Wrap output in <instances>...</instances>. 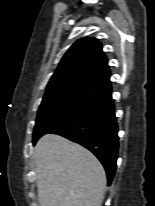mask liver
I'll list each match as a JSON object with an SVG mask.
<instances>
[{
    "instance_id": "6515ba94",
    "label": "liver",
    "mask_w": 155,
    "mask_h": 206,
    "mask_svg": "<svg viewBox=\"0 0 155 206\" xmlns=\"http://www.w3.org/2000/svg\"><path fill=\"white\" fill-rule=\"evenodd\" d=\"M39 206H101L106 188L102 164L87 149L46 134L34 149Z\"/></svg>"
}]
</instances>
